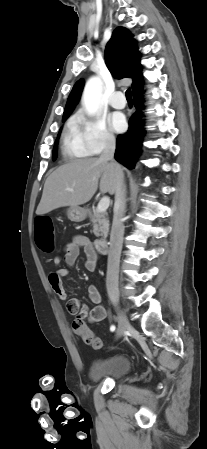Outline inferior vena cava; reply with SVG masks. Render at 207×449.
<instances>
[{"label": "inferior vena cava", "mask_w": 207, "mask_h": 449, "mask_svg": "<svg viewBox=\"0 0 207 449\" xmlns=\"http://www.w3.org/2000/svg\"><path fill=\"white\" fill-rule=\"evenodd\" d=\"M115 138L108 136L105 141L104 150L100 156L102 161H110L117 167V188L115 192V212L113 216L110 234V248L107 263L106 288L110 296H118V273L120 254L122 250L124 224L123 217L126 210V186L124 184L123 172L114 162Z\"/></svg>", "instance_id": "inferior-vena-cava-1"}]
</instances>
